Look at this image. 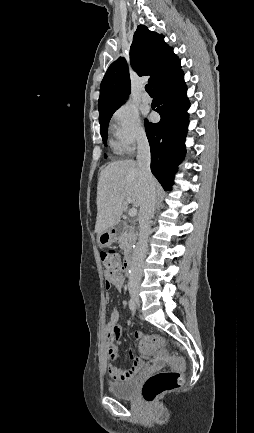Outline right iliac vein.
Here are the masks:
<instances>
[{"mask_svg":"<svg viewBox=\"0 0 254 433\" xmlns=\"http://www.w3.org/2000/svg\"><path fill=\"white\" fill-rule=\"evenodd\" d=\"M131 296H132V298H133L136 302H139L138 292H137V291H132V292H131Z\"/></svg>","mask_w":254,"mask_h":433,"instance_id":"right-iliac-vein-1","label":"right iliac vein"}]
</instances>
